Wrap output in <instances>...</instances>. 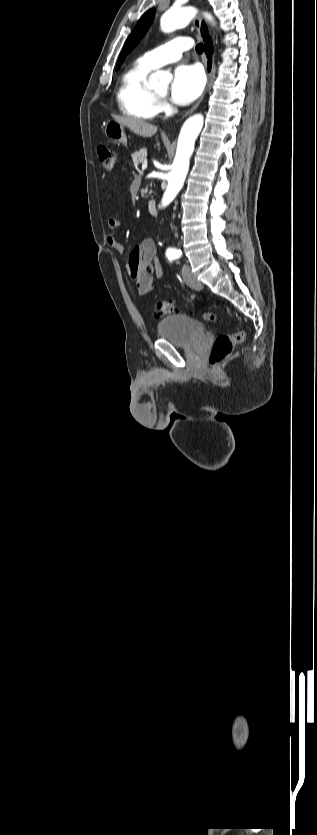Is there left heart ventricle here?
<instances>
[{
  "instance_id": "obj_1",
  "label": "left heart ventricle",
  "mask_w": 317,
  "mask_h": 835,
  "mask_svg": "<svg viewBox=\"0 0 317 835\" xmlns=\"http://www.w3.org/2000/svg\"><path fill=\"white\" fill-rule=\"evenodd\" d=\"M166 92H167V87L166 86L157 90V93H159L161 95H165Z\"/></svg>"
}]
</instances>
